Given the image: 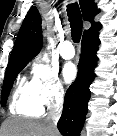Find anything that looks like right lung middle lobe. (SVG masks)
<instances>
[{
	"label": "right lung middle lobe",
	"instance_id": "dd1d6c3e",
	"mask_svg": "<svg viewBox=\"0 0 117 136\" xmlns=\"http://www.w3.org/2000/svg\"><path fill=\"white\" fill-rule=\"evenodd\" d=\"M29 60L15 61L7 66L5 72V78L3 82V88L1 93V105L4 106L7 102L8 95L12 88L13 82L16 79L18 73L27 65Z\"/></svg>",
	"mask_w": 117,
	"mask_h": 136
}]
</instances>
